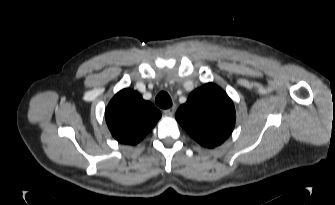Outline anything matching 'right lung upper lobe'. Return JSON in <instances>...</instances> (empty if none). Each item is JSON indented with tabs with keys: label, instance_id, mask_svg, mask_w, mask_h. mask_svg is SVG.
<instances>
[{
	"label": "right lung upper lobe",
	"instance_id": "right-lung-upper-lobe-1",
	"mask_svg": "<svg viewBox=\"0 0 335 205\" xmlns=\"http://www.w3.org/2000/svg\"><path fill=\"white\" fill-rule=\"evenodd\" d=\"M105 118L112 136L123 144L140 142L161 118L160 111L131 89L119 91L106 108Z\"/></svg>",
	"mask_w": 335,
	"mask_h": 205
}]
</instances>
